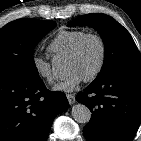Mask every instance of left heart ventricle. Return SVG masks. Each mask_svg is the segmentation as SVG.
Returning a JSON list of instances; mask_svg holds the SVG:
<instances>
[{
	"instance_id": "obj_1",
	"label": "left heart ventricle",
	"mask_w": 141,
	"mask_h": 141,
	"mask_svg": "<svg viewBox=\"0 0 141 141\" xmlns=\"http://www.w3.org/2000/svg\"><path fill=\"white\" fill-rule=\"evenodd\" d=\"M100 46L94 39H90L84 45L81 53L76 58H67L66 71L78 72L83 78L88 77L97 68L100 60Z\"/></svg>"
}]
</instances>
